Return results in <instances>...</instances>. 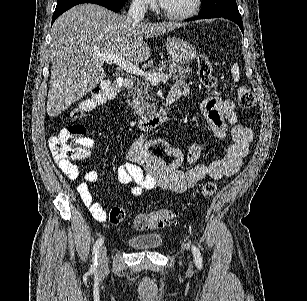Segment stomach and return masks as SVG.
Masks as SVG:
<instances>
[{"label":"stomach","mask_w":307,"mask_h":301,"mask_svg":"<svg viewBox=\"0 0 307 301\" xmlns=\"http://www.w3.org/2000/svg\"><path fill=\"white\" fill-rule=\"evenodd\" d=\"M166 50L170 54L172 62H176V64L192 62L197 56V50L193 44L184 38H176V36H168Z\"/></svg>","instance_id":"obj_1"}]
</instances>
